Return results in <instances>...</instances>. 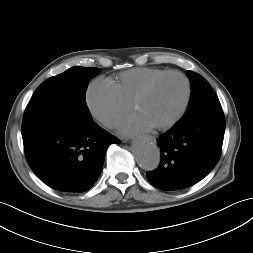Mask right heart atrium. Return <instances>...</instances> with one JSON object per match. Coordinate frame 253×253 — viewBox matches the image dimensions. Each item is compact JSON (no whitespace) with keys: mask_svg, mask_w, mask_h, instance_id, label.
I'll list each match as a JSON object with an SVG mask.
<instances>
[{"mask_svg":"<svg viewBox=\"0 0 253 253\" xmlns=\"http://www.w3.org/2000/svg\"><path fill=\"white\" fill-rule=\"evenodd\" d=\"M85 100L91 115L106 127L115 125L129 108L113 84L104 78L89 84Z\"/></svg>","mask_w":253,"mask_h":253,"instance_id":"obj_1","label":"right heart atrium"}]
</instances>
